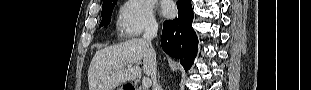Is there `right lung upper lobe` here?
I'll return each mask as SVG.
<instances>
[{"instance_id": "cb5924a9", "label": "right lung upper lobe", "mask_w": 311, "mask_h": 90, "mask_svg": "<svg viewBox=\"0 0 311 90\" xmlns=\"http://www.w3.org/2000/svg\"><path fill=\"white\" fill-rule=\"evenodd\" d=\"M109 1H111V0H104L103 4L108 3Z\"/></svg>"}]
</instances>
